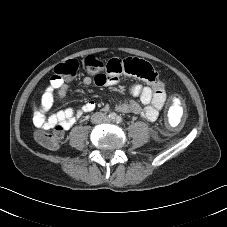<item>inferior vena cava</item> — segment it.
Listing matches in <instances>:
<instances>
[{
	"label": "inferior vena cava",
	"instance_id": "inferior-vena-cava-1",
	"mask_svg": "<svg viewBox=\"0 0 227 227\" xmlns=\"http://www.w3.org/2000/svg\"><path fill=\"white\" fill-rule=\"evenodd\" d=\"M108 120V117L101 112L95 113L92 116V122L93 123H102V122H106Z\"/></svg>",
	"mask_w": 227,
	"mask_h": 227
}]
</instances>
